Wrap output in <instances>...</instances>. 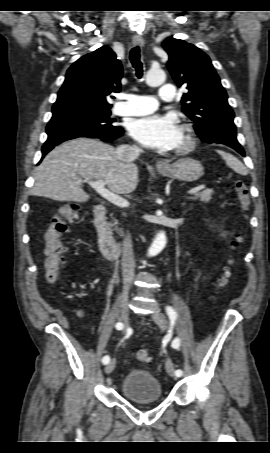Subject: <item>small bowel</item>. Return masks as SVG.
<instances>
[{
    "mask_svg": "<svg viewBox=\"0 0 270 453\" xmlns=\"http://www.w3.org/2000/svg\"><path fill=\"white\" fill-rule=\"evenodd\" d=\"M196 281H198V277H197ZM194 289L195 290L197 289V284L194 286Z\"/></svg>",
    "mask_w": 270,
    "mask_h": 453,
    "instance_id": "1",
    "label": "small bowel"
}]
</instances>
